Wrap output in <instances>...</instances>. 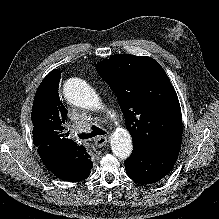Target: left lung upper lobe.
<instances>
[{
    "instance_id": "left-lung-upper-lobe-1",
    "label": "left lung upper lobe",
    "mask_w": 219,
    "mask_h": 219,
    "mask_svg": "<svg viewBox=\"0 0 219 219\" xmlns=\"http://www.w3.org/2000/svg\"><path fill=\"white\" fill-rule=\"evenodd\" d=\"M118 98L134 147L179 154L182 115L167 74L154 59L116 54L96 64Z\"/></svg>"
}]
</instances>
